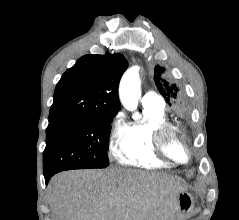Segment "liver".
<instances>
[{"label":"liver","instance_id":"1","mask_svg":"<svg viewBox=\"0 0 239 220\" xmlns=\"http://www.w3.org/2000/svg\"><path fill=\"white\" fill-rule=\"evenodd\" d=\"M187 187L162 174L135 169L72 170L49 183L53 220H166Z\"/></svg>","mask_w":239,"mask_h":220}]
</instances>
